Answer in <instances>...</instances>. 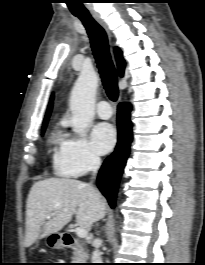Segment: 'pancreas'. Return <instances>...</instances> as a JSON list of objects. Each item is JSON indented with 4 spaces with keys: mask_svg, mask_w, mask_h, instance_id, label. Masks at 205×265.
<instances>
[{
    "mask_svg": "<svg viewBox=\"0 0 205 265\" xmlns=\"http://www.w3.org/2000/svg\"><path fill=\"white\" fill-rule=\"evenodd\" d=\"M88 259V254L84 250H80L74 253L73 260L76 262H83Z\"/></svg>",
    "mask_w": 205,
    "mask_h": 265,
    "instance_id": "obj_1",
    "label": "pancreas"
}]
</instances>
